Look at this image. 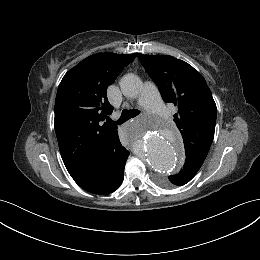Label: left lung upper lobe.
<instances>
[{"label": "left lung upper lobe", "instance_id": "left-lung-upper-lobe-1", "mask_svg": "<svg viewBox=\"0 0 260 260\" xmlns=\"http://www.w3.org/2000/svg\"><path fill=\"white\" fill-rule=\"evenodd\" d=\"M138 58L163 100L178 107L174 121L183 137L186 161L202 165L214 138L217 117L216 104L205 79L191 65L172 56L139 53ZM160 183L173 186L167 179Z\"/></svg>", "mask_w": 260, "mask_h": 260}]
</instances>
